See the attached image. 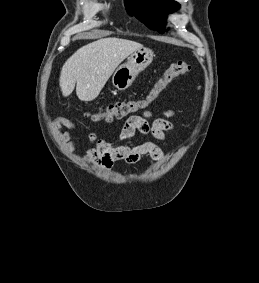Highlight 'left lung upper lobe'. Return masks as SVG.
Instances as JSON below:
<instances>
[{"label":"left lung upper lobe","instance_id":"obj_1","mask_svg":"<svg viewBox=\"0 0 259 283\" xmlns=\"http://www.w3.org/2000/svg\"><path fill=\"white\" fill-rule=\"evenodd\" d=\"M125 7L150 29L164 33L166 14L180 5L173 0H125Z\"/></svg>","mask_w":259,"mask_h":283}]
</instances>
